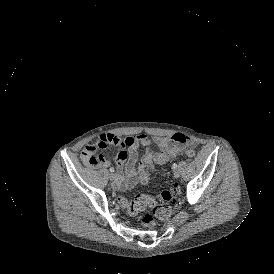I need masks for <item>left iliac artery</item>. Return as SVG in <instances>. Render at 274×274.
<instances>
[{"mask_svg": "<svg viewBox=\"0 0 274 274\" xmlns=\"http://www.w3.org/2000/svg\"><path fill=\"white\" fill-rule=\"evenodd\" d=\"M178 167V165L176 163L173 164L172 168L176 169Z\"/></svg>", "mask_w": 274, "mask_h": 274, "instance_id": "obj_1", "label": "left iliac artery"}]
</instances>
